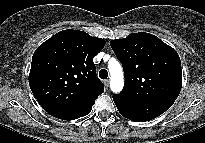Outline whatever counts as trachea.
Listing matches in <instances>:
<instances>
[{"label": "trachea", "instance_id": "trachea-1", "mask_svg": "<svg viewBox=\"0 0 205 143\" xmlns=\"http://www.w3.org/2000/svg\"><path fill=\"white\" fill-rule=\"evenodd\" d=\"M99 77H100L101 79H106V78L108 77V71L105 70V69H101V70L99 71Z\"/></svg>", "mask_w": 205, "mask_h": 143}]
</instances>
